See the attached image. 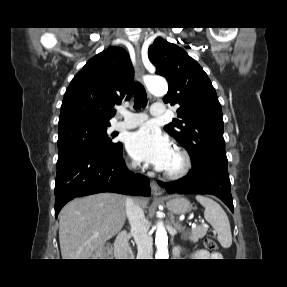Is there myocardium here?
Here are the masks:
<instances>
[{"mask_svg":"<svg viewBox=\"0 0 287 287\" xmlns=\"http://www.w3.org/2000/svg\"><path fill=\"white\" fill-rule=\"evenodd\" d=\"M181 159V165L175 170H164L163 176L167 179L176 180L185 177L192 168V158L189 152L183 148L176 147L173 149Z\"/></svg>","mask_w":287,"mask_h":287,"instance_id":"obj_1","label":"myocardium"}]
</instances>
